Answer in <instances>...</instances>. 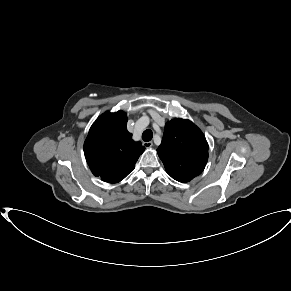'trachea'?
I'll list each match as a JSON object with an SVG mask.
<instances>
[{
  "mask_svg": "<svg viewBox=\"0 0 291 291\" xmlns=\"http://www.w3.org/2000/svg\"><path fill=\"white\" fill-rule=\"evenodd\" d=\"M152 137H153V132L150 129L145 130L142 134V139L145 142L150 141L152 139Z\"/></svg>",
  "mask_w": 291,
  "mask_h": 291,
  "instance_id": "1",
  "label": "trachea"
}]
</instances>
